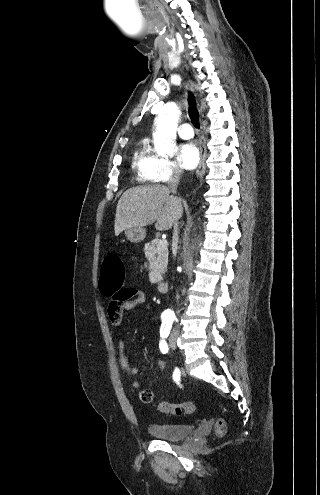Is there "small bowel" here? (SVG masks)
<instances>
[{
  "mask_svg": "<svg viewBox=\"0 0 320 495\" xmlns=\"http://www.w3.org/2000/svg\"><path fill=\"white\" fill-rule=\"evenodd\" d=\"M121 291L127 293V298L122 303H120L118 301L117 294H111L108 304L109 320L111 325L116 329L121 327L123 315L125 312L131 311L135 307L147 303L146 293L141 289L127 287L122 288ZM125 350L126 344L124 340L120 339L118 341L120 365L128 375H136L138 373V368L130 363ZM157 366L162 369L164 367V362L162 360H158ZM131 386L134 389H139L140 383L138 381H133L131 383Z\"/></svg>",
  "mask_w": 320,
  "mask_h": 495,
  "instance_id": "obj_1",
  "label": "small bowel"
}]
</instances>
